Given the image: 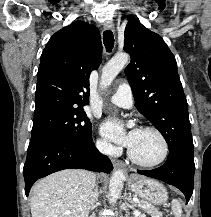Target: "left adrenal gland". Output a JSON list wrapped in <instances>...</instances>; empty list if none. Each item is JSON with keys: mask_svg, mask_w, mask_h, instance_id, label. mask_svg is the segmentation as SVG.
<instances>
[{"mask_svg": "<svg viewBox=\"0 0 211 217\" xmlns=\"http://www.w3.org/2000/svg\"><path fill=\"white\" fill-rule=\"evenodd\" d=\"M128 197H126V205L132 204V206H136V203L132 200L131 193H128Z\"/></svg>", "mask_w": 211, "mask_h": 217, "instance_id": "left-adrenal-gland-1", "label": "left adrenal gland"}]
</instances>
